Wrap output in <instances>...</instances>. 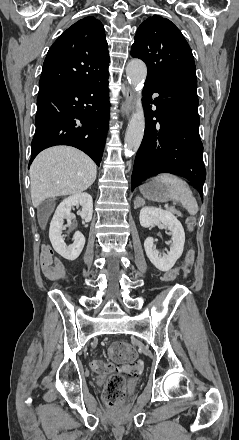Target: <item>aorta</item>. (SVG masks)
<instances>
[{
  "label": "aorta",
  "instance_id": "762f6f07",
  "mask_svg": "<svg viewBox=\"0 0 239 440\" xmlns=\"http://www.w3.org/2000/svg\"><path fill=\"white\" fill-rule=\"evenodd\" d=\"M127 78L137 92V100L135 110L131 116L129 126L125 134V146L127 154H135L137 152L144 136L145 118L141 104V90H137L139 84L146 80L147 68L142 60H131L126 66Z\"/></svg>",
  "mask_w": 239,
  "mask_h": 440
}]
</instances>
